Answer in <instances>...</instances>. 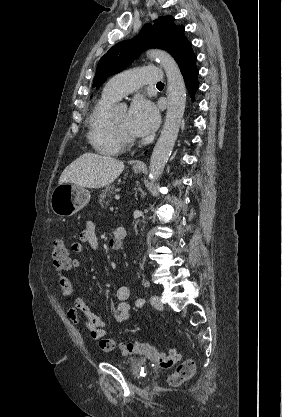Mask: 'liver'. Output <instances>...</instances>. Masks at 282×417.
<instances>
[{
    "mask_svg": "<svg viewBox=\"0 0 282 417\" xmlns=\"http://www.w3.org/2000/svg\"><path fill=\"white\" fill-rule=\"evenodd\" d=\"M124 170V162L113 156H102L95 152H84L64 168L59 184L74 182L86 188L109 186Z\"/></svg>",
    "mask_w": 282,
    "mask_h": 417,
    "instance_id": "liver-1",
    "label": "liver"
}]
</instances>
